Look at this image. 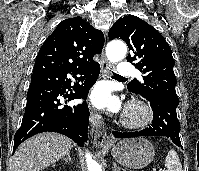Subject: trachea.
I'll use <instances>...</instances> for the list:
<instances>
[{
    "label": "trachea",
    "instance_id": "1",
    "mask_svg": "<svg viewBox=\"0 0 199 171\" xmlns=\"http://www.w3.org/2000/svg\"><path fill=\"white\" fill-rule=\"evenodd\" d=\"M113 76H115V77H122V76H120V75H118L116 73H113Z\"/></svg>",
    "mask_w": 199,
    "mask_h": 171
}]
</instances>
